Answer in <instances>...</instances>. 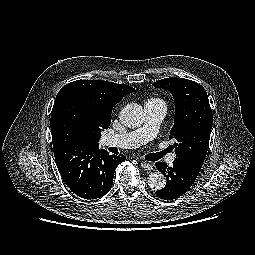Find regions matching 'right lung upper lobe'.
<instances>
[{"mask_svg": "<svg viewBox=\"0 0 255 255\" xmlns=\"http://www.w3.org/2000/svg\"><path fill=\"white\" fill-rule=\"evenodd\" d=\"M135 89L126 84H116L102 80H77L66 84L58 92L51 114V133L53 148L62 146L52 130L53 119L58 108L69 98L81 99L93 117L98 131L89 137L90 147H99L98 141L102 129H107L111 122V113L114 106L126 95Z\"/></svg>", "mask_w": 255, "mask_h": 255, "instance_id": "cb5924a9", "label": "right lung upper lobe"}]
</instances>
